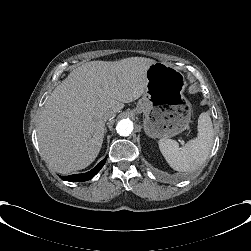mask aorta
<instances>
[{
    "instance_id": "aorta-1",
    "label": "aorta",
    "mask_w": 251,
    "mask_h": 251,
    "mask_svg": "<svg viewBox=\"0 0 251 251\" xmlns=\"http://www.w3.org/2000/svg\"><path fill=\"white\" fill-rule=\"evenodd\" d=\"M116 130L120 136H129L133 131V122L130 119H122L118 122Z\"/></svg>"
}]
</instances>
